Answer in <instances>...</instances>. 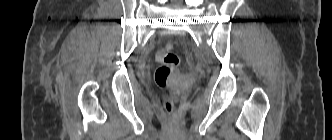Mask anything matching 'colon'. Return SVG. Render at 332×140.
<instances>
[{
    "mask_svg": "<svg viewBox=\"0 0 332 140\" xmlns=\"http://www.w3.org/2000/svg\"><path fill=\"white\" fill-rule=\"evenodd\" d=\"M156 61L159 63V67L155 71V82L160 88L169 90L171 89V76L179 66L180 58L172 51L171 47H166L157 52ZM174 107L172 98H167L164 101V109L168 114L174 112Z\"/></svg>",
    "mask_w": 332,
    "mask_h": 140,
    "instance_id": "obj_1",
    "label": "colon"
}]
</instances>
